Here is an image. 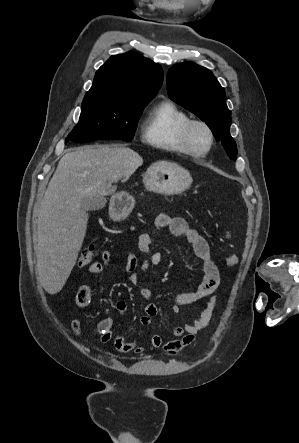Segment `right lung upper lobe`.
Listing matches in <instances>:
<instances>
[{"label": "right lung upper lobe", "instance_id": "obj_1", "mask_svg": "<svg viewBox=\"0 0 299 443\" xmlns=\"http://www.w3.org/2000/svg\"><path fill=\"white\" fill-rule=\"evenodd\" d=\"M163 82L159 64L137 54L113 55L95 74L85 97L150 102Z\"/></svg>", "mask_w": 299, "mask_h": 443}]
</instances>
